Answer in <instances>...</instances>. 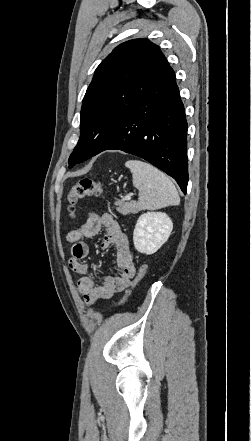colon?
<instances>
[{
	"label": "colon",
	"instance_id": "colon-1",
	"mask_svg": "<svg viewBox=\"0 0 251 441\" xmlns=\"http://www.w3.org/2000/svg\"><path fill=\"white\" fill-rule=\"evenodd\" d=\"M103 193V188L100 182L95 181L91 178L84 177L80 179L68 192L67 194V209L70 215H74L76 205L79 200L86 197H99ZM147 271V266L142 265L139 269L138 275L135 279L130 280L127 287L125 295L120 301V306H123L129 295L131 294L132 288L137 284V282L145 275Z\"/></svg>",
	"mask_w": 251,
	"mask_h": 441
}]
</instances>
